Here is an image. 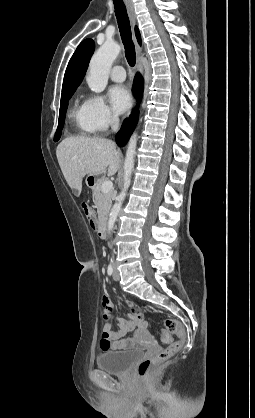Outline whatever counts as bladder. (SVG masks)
I'll return each mask as SVG.
<instances>
[{"instance_id": "bladder-1", "label": "bladder", "mask_w": 255, "mask_h": 418, "mask_svg": "<svg viewBox=\"0 0 255 418\" xmlns=\"http://www.w3.org/2000/svg\"><path fill=\"white\" fill-rule=\"evenodd\" d=\"M141 355L140 348L106 351L97 356L96 365L103 371L121 374L128 371Z\"/></svg>"}]
</instances>
